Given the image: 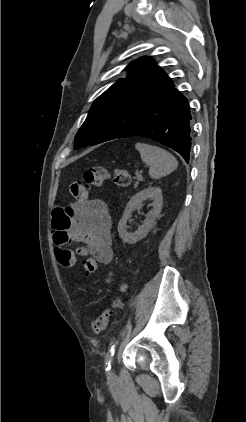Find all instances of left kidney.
<instances>
[{"mask_svg":"<svg viewBox=\"0 0 246 422\" xmlns=\"http://www.w3.org/2000/svg\"><path fill=\"white\" fill-rule=\"evenodd\" d=\"M148 199L153 200V209L146 215L143 224L135 232H127L126 223L130 218L132 211L141 207L143 201ZM162 202L163 196L159 187H148L134 195L125 207L123 216L118 223V233L121 239L128 244H134L142 238H145L150 228L154 226L155 220L161 212Z\"/></svg>","mask_w":246,"mask_h":422,"instance_id":"1","label":"left kidney"}]
</instances>
